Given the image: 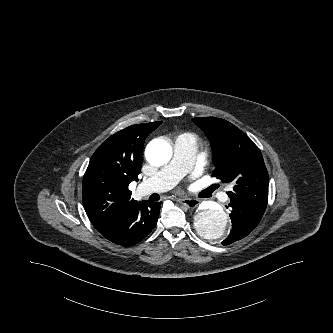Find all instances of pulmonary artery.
<instances>
[{
    "mask_svg": "<svg viewBox=\"0 0 333 333\" xmlns=\"http://www.w3.org/2000/svg\"><path fill=\"white\" fill-rule=\"evenodd\" d=\"M196 154V138L190 134L179 135L174 143L173 159L154 176L140 184L142 193L162 192L174 187L189 171Z\"/></svg>",
    "mask_w": 333,
    "mask_h": 333,
    "instance_id": "pulmonary-artery-1",
    "label": "pulmonary artery"
}]
</instances>
